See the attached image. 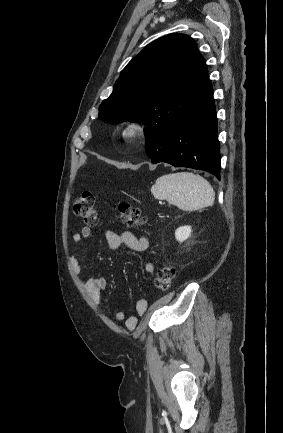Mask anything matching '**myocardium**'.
I'll return each mask as SVG.
<instances>
[{
  "label": "myocardium",
  "instance_id": "obj_1",
  "mask_svg": "<svg viewBox=\"0 0 283 433\" xmlns=\"http://www.w3.org/2000/svg\"><path fill=\"white\" fill-rule=\"evenodd\" d=\"M146 126L136 120L125 123L120 131V137L126 142H134L142 138L145 134Z\"/></svg>",
  "mask_w": 283,
  "mask_h": 433
}]
</instances>
